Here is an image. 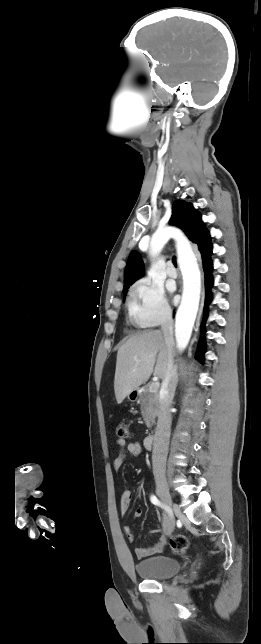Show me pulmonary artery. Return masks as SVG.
<instances>
[{
  "label": "pulmonary artery",
  "mask_w": 261,
  "mask_h": 644,
  "mask_svg": "<svg viewBox=\"0 0 261 644\" xmlns=\"http://www.w3.org/2000/svg\"><path fill=\"white\" fill-rule=\"evenodd\" d=\"M167 274H168V276H170V277H172V278H176V277H177V275H178L177 270L173 267V265H172V264H170V265L167 267Z\"/></svg>",
  "instance_id": "obj_1"
}]
</instances>
